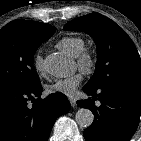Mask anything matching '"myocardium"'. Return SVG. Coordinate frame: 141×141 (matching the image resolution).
<instances>
[{
    "label": "myocardium",
    "instance_id": "f54148a6",
    "mask_svg": "<svg viewBox=\"0 0 141 141\" xmlns=\"http://www.w3.org/2000/svg\"><path fill=\"white\" fill-rule=\"evenodd\" d=\"M76 64L79 70L83 74H91L96 67V57L95 54L89 50L84 48L77 56H75Z\"/></svg>",
    "mask_w": 141,
    "mask_h": 141
}]
</instances>
